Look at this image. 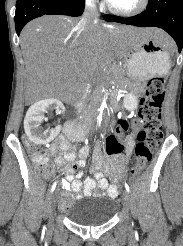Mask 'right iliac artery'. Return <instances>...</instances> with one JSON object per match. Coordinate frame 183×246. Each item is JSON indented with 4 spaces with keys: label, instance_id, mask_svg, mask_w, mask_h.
<instances>
[{
    "label": "right iliac artery",
    "instance_id": "right-iliac-artery-1",
    "mask_svg": "<svg viewBox=\"0 0 183 246\" xmlns=\"http://www.w3.org/2000/svg\"><path fill=\"white\" fill-rule=\"evenodd\" d=\"M56 185H57V182H55V183L52 185L51 192H53V191L55 190Z\"/></svg>",
    "mask_w": 183,
    "mask_h": 246
}]
</instances>
